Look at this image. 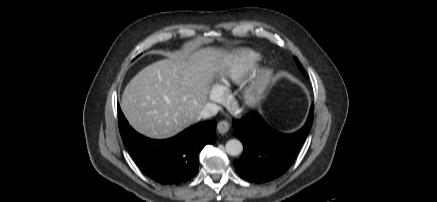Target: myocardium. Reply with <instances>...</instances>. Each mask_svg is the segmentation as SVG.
<instances>
[{"label":"myocardium","instance_id":"f54148a6","mask_svg":"<svg viewBox=\"0 0 437 202\" xmlns=\"http://www.w3.org/2000/svg\"><path fill=\"white\" fill-rule=\"evenodd\" d=\"M271 70L262 68L256 71L242 86L236 104L244 109L255 107L262 99L269 78Z\"/></svg>","mask_w":437,"mask_h":202}]
</instances>
